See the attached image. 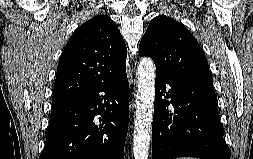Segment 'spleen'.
<instances>
[{
  "label": "spleen",
  "mask_w": 253,
  "mask_h": 159,
  "mask_svg": "<svg viewBox=\"0 0 253 159\" xmlns=\"http://www.w3.org/2000/svg\"><path fill=\"white\" fill-rule=\"evenodd\" d=\"M177 159H196V158H190V157H186V158H177Z\"/></svg>",
  "instance_id": "1"
}]
</instances>
